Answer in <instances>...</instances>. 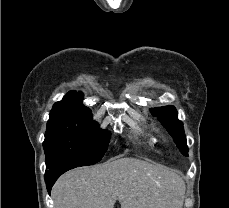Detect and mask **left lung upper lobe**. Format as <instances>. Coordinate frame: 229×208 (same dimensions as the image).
<instances>
[{
  "mask_svg": "<svg viewBox=\"0 0 229 208\" xmlns=\"http://www.w3.org/2000/svg\"><path fill=\"white\" fill-rule=\"evenodd\" d=\"M150 112L157 117L158 121L168 131L180 151L188 152L186 136L184 134L183 123L177 118L176 108L172 105L151 108Z\"/></svg>",
  "mask_w": 229,
  "mask_h": 208,
  "instance_id": "obj_1",
  "label": "left lung upper lobe"
}]
</instances>
